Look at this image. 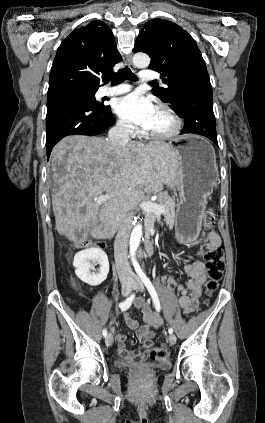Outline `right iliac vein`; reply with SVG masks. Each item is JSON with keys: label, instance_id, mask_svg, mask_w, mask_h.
Returning <instances> with one entry per match:
<instances>
[{"label": "right iliac vein", "instance_id": "1", "mask_svg": "<svg viewBox=\"0 0 265 423\" xmlns=\"http://www.w3.org/2000/svg\"><path fill=\"white\" fill-rule=\"evenodd\" d=\"M132 286H133V283L130 280H124L122 282V286H121V293H122V295L123 296H128L129 293H130V291H131ZM105 343H106L107 346L112 345V343H113V336L111 334H109V335L106 336Z\"/></svg>", "mask_w": 265, "mask_h": 423}]
</instances>
